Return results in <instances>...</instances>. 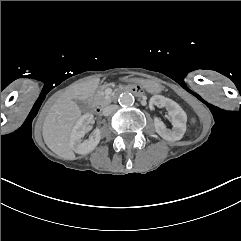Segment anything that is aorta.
Here are the masks:
<instances>
[{
	"label": "aorta",
	"instance_id": "762f6f07",
	"mask_svg": "<svg viewBox=\"0 0 241 241\" xmlns=\"http://www.w3.org/2000/svg\"><path fill=\"white\" fill-rule=\"evenodd\" d=\"M118 102L121 106H131L134 103V96L131 93L124 92L119 96Z\"/></svg>",
	"mask_w": 241,
	"mask_h": 241
}]
</instances>
